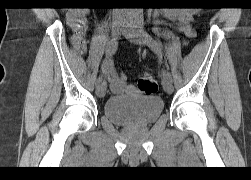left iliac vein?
I'll list each match as a JSON object with an SVG mask.
<instances>
[{
    "instance_id": "left-iliac-vein-1",
    "label": "left iliac vein",
    "mask_w": 251,
    "mask_h": 180,
    "mask_svg": "<svg viewBox=\"0 0 251 180\" xmlns=\"http://www.w3.org/2000/svg\"><path fill=\"white\" fill-rule=\"evenodd\" d=\"M123 35L133 42L134 44L137 45H144L146 44L145 39L143 35L139 32V30L136 27V24L133 23L132 21L127 23L125 28L123 29ZM162 85L164 90L168 93L171 94L173 92V85L170 79L164 77L162 79Z\"/></svg>"
}]
</instances>
